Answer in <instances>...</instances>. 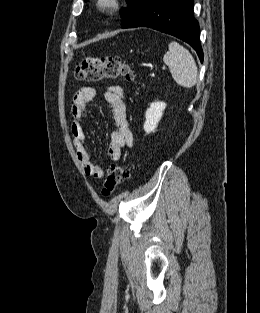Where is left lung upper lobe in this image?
<instances>
[{
  "label": "left lung upper lobe",
  "mask_w": 260,
  "mask_h": 313,
  "mask_svg": "<svg viewBox=\"0 0 260 313\" xmlns=\"http://www.w3.org/2000/svg\"><path fill=\"white\" fill-rule=\"evenodd\" d=\"M128 8L121 10L122 24L125 28L152 0H126Z\"/></svg>",
  "instance_id": "5c2ea615"
}]
</instances>
